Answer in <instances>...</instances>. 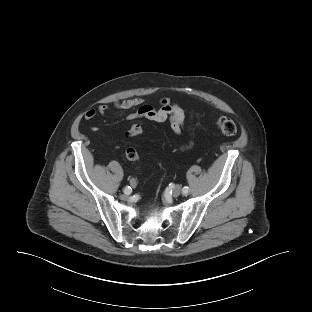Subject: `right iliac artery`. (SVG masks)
I'll return each instance as SVG.
<instances>
[{"label": "right iliac artery", "instance_id": "1", "mask_svg": "<svg viewBox=\"0 0 312 312\" xmlns=\"http://www.w3.org/2000/svg\"><path fill=\"white\" fill-rule=\"evenodd\" d=\"M132 191L131 187L130 186H127L125 189H124V193L125 194H130Z\"/></svg>", "mask_w": 312, "mask_h": 312}]
</instances>
